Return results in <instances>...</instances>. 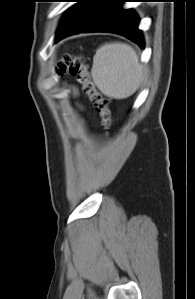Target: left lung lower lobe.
Masks as SVG:
<instances>
[{"instance_id": "1", "label": "left lung lower lobe", "mask_w": 195, "mask_h": 299, "mask_svg": "<svg viewBox=\"0 0 195 299\" xmlns=\"http://www.w3.org/2000/svg\"><path fill=\"white\" fill-rule=\"evenodd\" d=\"M128 0H88L78 16L58 31L56 41L82 32H112L123 35L144 46L139 18L130 9L122 5Z\"/></svg>"}]
</instances>
